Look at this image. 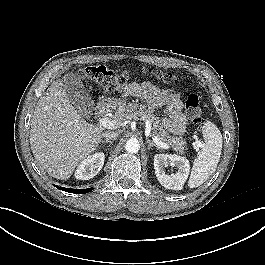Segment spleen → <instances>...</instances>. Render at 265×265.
Here are the masks:
<instances>
[{
  "label": "spleen",
  "mask_w": 265,
  "mask_h": 265,
  "mask_svg": "<svg viewBox=\"0 0 265 265\" xmlns=\"http://www.w3.org/2000/svg\"><path fill=\"white\" fill-rule=\"evenodd\" d=\"M204 143L194 160L188 186L202 185L215 171L222 151V135L216 125L207 121L202 127Z\"/></svg>",
  "instance_id": "3e777b00"
}]
</instances>
